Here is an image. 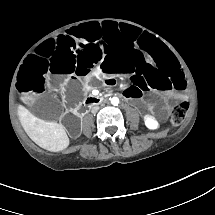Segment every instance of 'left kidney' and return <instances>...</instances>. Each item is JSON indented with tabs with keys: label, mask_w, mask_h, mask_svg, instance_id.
<instances>
[{
	"label": "left kidney",
	"mask_w": 215,
	"mask_h": 215,
	"mask_svg": "<svg viewBox=\"0 0 215 215\" xmlns=\"http://www.w3.org/2000/svg\"><path fill=\"white\" fill-rule=\"evenodd\" d=\"M145 125L149 129H157L158 128V122L151 116L145 117Z\"/></svg>",
	"instance_id": "left-kidney-1"
}]
</instances>
